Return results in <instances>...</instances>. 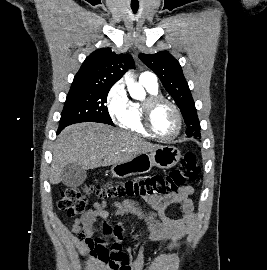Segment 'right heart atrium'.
<instances>
[{
  "mask_svg": "<svg viewBox=\"0 0 267 270\" xmlns=\"http://www.w3.org/2000/svg\"><path fill=\"white\" fill-rule=\"evenodd\" d=\"M129 98L123 81H117L109 89L106 95V109L114 122H120L126 115Z\"/></svg>",
  "mask_w": 267,
  "mask_h": 270,
  "instance_id": "d8ad5b80",
  "label": "right heart atrium"
}]
</instances>
